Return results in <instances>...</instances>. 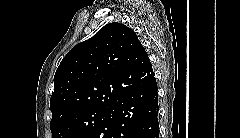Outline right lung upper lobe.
<instances>
[{
	"label": "right lung upper lobe",
	"mask_w": 240,
	"mask_h": 138,
	"mask_svg": "<svg viewBox=\"0 0 240 138\" xmlns=\"http://www.w3.org/2000/svg\"><path fill=\"white\" fill-rule=\"evenodd\" d=\"M154 78L135 32L117 22L74 46L54 76L52 120L91 108H108Z\"/></svg>",
	"instance_id": "1"
}]
</instances>
